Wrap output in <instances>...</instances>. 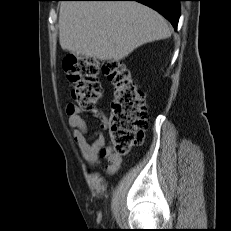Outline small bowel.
<instances>
[{"mask_svg":"<svg viewBox=\"0 0 231 231\" xmlns=\"http://www.w3.org/2000/svg\"><path fill=\"white\" fill-rule=\"evenodd\" d=\"M67 113L68 122L72 128L73 139L82 157L91 164L97 163L100 158H107L109 164L106 167V172L108 174L116 172L120 167L121 158L112 151L111 147L106 146L103 134L98 132L92 136H88V127L79 107L68 105ZM93 115L100 121L101 129H107L109 121L103 112L94 110Z\"/></svg>","mask_w":231,"mask_h":231,"instance_id":"c3829d8e","label":"small bowel"}]
</instances>
